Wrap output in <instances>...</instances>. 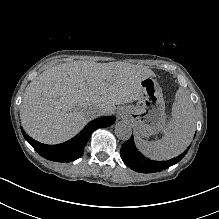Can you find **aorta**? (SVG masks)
<instances>
[{
	"instance_id": "1",
	"label": "aorta",
	"mask_w": 219,
	"mask_h": 219,
	"mask_svg": "<svg viewBox=\"0 0 219 219\" xmlns=\"http://www.w3.org/2000/svg\"><path fill=\"white\" fill-rule=\"evenodd\" d=\"M115 134L119 139L127 141L132 135L131 126L124 121L118 122L115 125Z\"/></svg>"
}]
</instances>
